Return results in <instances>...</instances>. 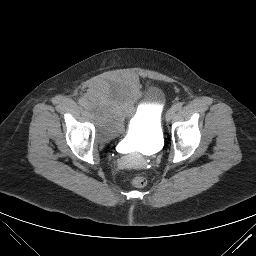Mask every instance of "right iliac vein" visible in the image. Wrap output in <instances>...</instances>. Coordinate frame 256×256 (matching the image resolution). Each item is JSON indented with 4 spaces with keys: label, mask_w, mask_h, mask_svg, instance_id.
I'll return each mask as SVG.
<instances>
[{
    "label": "right iliac vein",
    "mask_w": 256,
    "mask_h": 256,
    "mask_svg": "<svg viewBox=\"0 0 256 256\" xmlns=\"http://www.w3.org/2000/svg\"><path fill=\"white\" fill-rule=\"evenodd\" d=\"M84 110H85L86 112H89V111L91 110L90 105H89V104H86L85 107H84Z\"/></svg>",
    "instance_id": "63e3f726"
}]
</instances>
